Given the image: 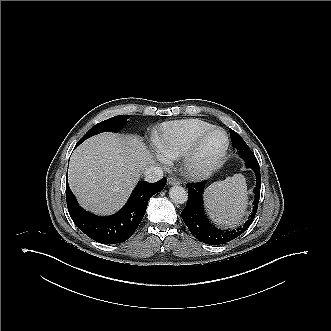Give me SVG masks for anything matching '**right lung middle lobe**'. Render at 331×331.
<instances>
[{
  "instance_id": "dd1d6c3e",
  "label": "right lung middle lobe",
  "mask_w": 331,
  "mask_h": 331,
  "mask_svg": "<svg viewBox=\"0 0 331 331\" xmlns=\"http://www.w3.org/2000/svg\"><path fill=\"white\" fill-rule=\"evenodd\" d=\"M130 117V115H120L115 116L112 118H109L103 122H100L96 124L94 127H92L80 140L79 143H82L87 138L99 134L101 132H117L120 129H122L126 123L127 119Z\"/></svg>"
}]
</instances>
